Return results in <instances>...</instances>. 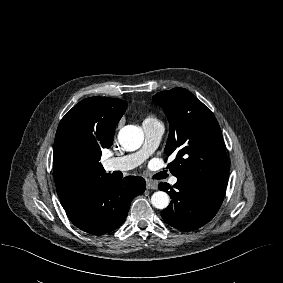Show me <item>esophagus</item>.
<instances>
[{
  "label": "esophagus",
  "mask_w": 283,
  "mask_h": 283,
  "mask_svg": "<svg viewBox=\"0 0 283 283\" xmlns=\"http://www.w3.org/2000/svg\"><path fill=\"white\" fill-rule=\"evenodd\" d=\"M146 188L149 189V190H155V189H157V183L154 182V181L147 180Z\"/></svg>",
  "instance_id": "1"
}]
</instances>
